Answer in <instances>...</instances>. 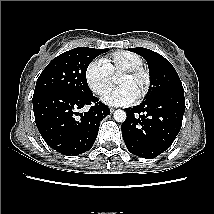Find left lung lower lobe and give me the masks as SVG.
<instances>
[{"label": "left lung lower lobe", "instance_id": "obj_1", "mask_svg": "<svg viewBox=\"0 0 214 214\" xmlns=\"http://www.w3.org/2000/svg\"><path fill=\"white\" fill-rule=\"evenodd\" d=\"M122 136L127 149L146 159L166 151L178 135L185 112L184 93H168L126 108Z\"/></svg>", "mask_w": 214, "mask_h": 214}]
</instances>
